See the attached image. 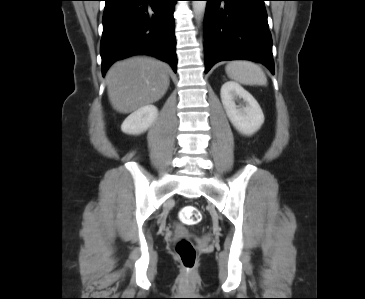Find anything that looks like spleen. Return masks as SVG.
<instances>
[{
  "instance_id": "1",
  "label": "spleen",
  "mask_w": 365,
  "mask_h": 299,
  "mask_svg": "<svg viewBox=\"0 0 365 299\" xmlns=\"http://www.w3.org/2000/svg\"><path fill=\"white\" fill-rule=\"evenodd\" d=\"M228 77L243 85H266L267 78L258 65L250 61H232L225 68Z\"/></svg>"
}]
</instances>
